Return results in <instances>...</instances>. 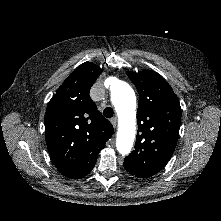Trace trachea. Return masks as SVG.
Wrapping results in <instances>:
<instances>
[{
    "mask_svg": "<svg viewBox=\"0 0 221 221\" xmlns=\"http://www.w3.org/2000/svg\"><path fill=\"white\" fill-rule=\"evenodd\" d=\"M103 115L106 117V118H111L113 117L114 115V111L112 109V107H106L103 111Z\"/></svg>",
    "mask_w": 221,
    "mask_h": 221,
    "instance_id": "trachea-1",
    "label": "trachea"
}]
</instances>
